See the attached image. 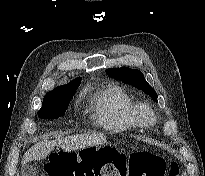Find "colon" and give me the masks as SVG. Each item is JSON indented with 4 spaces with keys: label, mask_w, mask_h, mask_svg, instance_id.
Here are the masks:
<instances>
[{
    "label": "colon",
    "mask_w": 205,
    "mask_h": 176,
    "mask_svg": "<svg viewBox=\"0 0 205 176\" xmlns=\"http://www.w3.org/2000/svg\"><path fill=\"white\" fill-rule=\"evenodd\" d=\"M49 176H165L164 159L151 151L132 153L128 160L106 149L54 152L46 167ZM179 166L172 162L169 176H177Z\"/></svg>",
    "instance_id": "5ec220e1"
}]
</instances>
